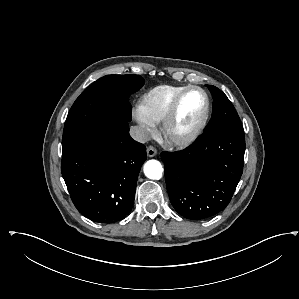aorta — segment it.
<instances>
[{
  "instance_id": "1",
  "label": "aorta",
  "mask_w": 299,
  "mask_h": 299,
  "mask_svg": "<svg viewBox=\"0 0 299 299\" xmlns=\"http://www.w3.org/2000/svg\"><path fill=\"white\" fill-rule=\"evenodd\" d=\"M144 174L147 178L158 180L162 177L163 168L159 161L149 160L144 165Z\"/></svg>"
}]
</instances>
